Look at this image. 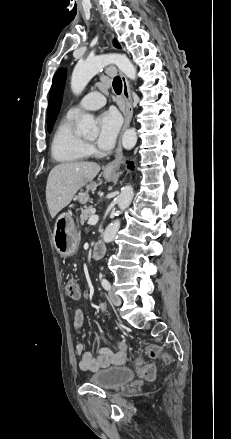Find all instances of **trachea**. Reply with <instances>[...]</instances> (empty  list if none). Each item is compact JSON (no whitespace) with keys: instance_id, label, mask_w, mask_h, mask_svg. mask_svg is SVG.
I'll list each match as a JSON object with an SVG mask.
<instances>
[{"instance_id":"obj_1","label":"trachea","mask_w":231,"mask_h":439,"mask_svg":"<svg viewBox=\"0 0 231 439\" xmlns=\"http://www.w3.org/2000/svg\"><path fill=\"white\" fill-rule=\"evenodd\" d=\"M112 84H113V89H114L115 93L119 95L121 93V91H122V81H121V78L119 76H116L113 79V83Z\"/></svg>"}]
</instances>
